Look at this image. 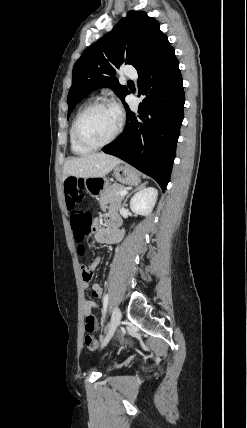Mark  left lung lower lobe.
Returning <instances> with one entry per match:
<instances>
[{
    "mask_svg": "<svg viewBox=\"0 0 247 428\" xmlns=\"http://www.w3.org/2000/svg\"><path fill=\"white\" fill-rule=\"evenodd\" d=\"M138 96L146 97L138 113L125 103L124 132L103 152L114 155L157 181L163 192L169 182L183 121L185 94L173 47L138 70Z\"/></svg>",
    "mask_w": 247,
    "mask_h": 428,
    "instance_id": "1",
    "label": "left lung lower lobe"
}]
</instances>
